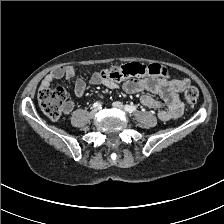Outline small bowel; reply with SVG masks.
Masks as SVG:
<instances>
[{"label":"small bowel","instance_id":"obj_1","mask_svg":"<svg viewBox=\"0 0 224 224\" xmlns=\"http://www.w3.org/2000/svg\"><path fill=\"white\" fill-rule=\"evenodd\" d=\"M75 77V69L73 66H64L56 68L48 73L41 82V87H49L55 80L62 78L72 79ZM90 85H103L109 89H115L119 85L116 82L110 81L103 77L102 73L95 72L90 80ZM189 85V80L182 79H167L148 77L144 79L129 80L122 84V88L128 93H136L140 91H149L161 97L163 102L155 99L149 94L141 96V103L151 109L157 110V116L163 121L179 118L183 113V102L180 93L183 92ZM86 89V83L81 77L75 79L74 92L78 97H81ZM74 104L69 102V106L64 110V113H70L73 110Z\"/></svg>","mask_w":224,"mask_h":224}]
</instances>
